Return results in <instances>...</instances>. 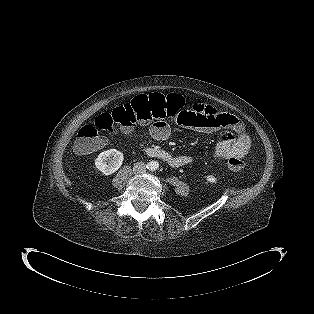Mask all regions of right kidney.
<instances>
[{"instance_id": "ca27d5eb", "label": "right kidney", "mask_w": 314, "mask_h": 314, "mask_svg": "<svg viewBox=\"0 0 314 314\" xmlns=\"http://www.w3.org/2000/svg\"><path fill=\"white\" fill-rule=\"evenodd\" d=\"M123 160L124 156L122 152L110 149L98 155L95 159V166L104 175H111L121 167Z\"/></svg>"}]
</instances>
